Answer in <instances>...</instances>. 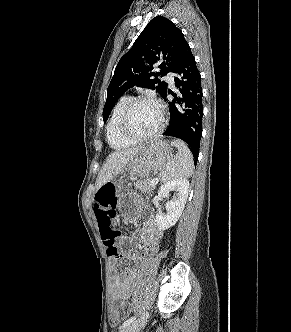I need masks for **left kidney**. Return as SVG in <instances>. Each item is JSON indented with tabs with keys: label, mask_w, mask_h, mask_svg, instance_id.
<instances>
[{
	"label": "left kidney",
	"mask_w": 291,
	"mask_h": 332,
	"mask_svg": "<svg viewBox=\"0 0 291 332\" xmlns=\"http://www.w3.org/2000/svg\"><path fill=\"white\" fill-rule=\"evenodd\" d=\"M173 191L172 199L167 201V214H156V223L160 230H166L176 224L186 204L189 191V181L176 179L165 182L158 190V196H168Z\"/></svg>",
	"instance_id": "obj_1"
}]
</instances>
